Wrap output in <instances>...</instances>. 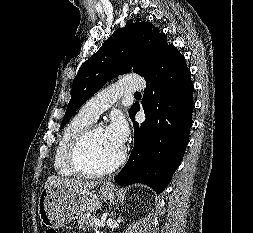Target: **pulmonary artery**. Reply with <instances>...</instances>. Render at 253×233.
<instances>
[{"label":"pulmonary artery","mask_w":253,"mask_h":233,"mask_svg":"<svg viewBox=\"0 0 253 233\" xmlns=\"http://www.w3.org/2000/svg\"><path fill=\"white\" fill-rule=\"evenodd\" d=\"M144 86V81L139 77L123 78L89 99L81 107L80 113L95 120L102 112L111 107L122 95L136 93L143 89Z\"/></svg>","instance_id":"obj_1"}]
</instances>
